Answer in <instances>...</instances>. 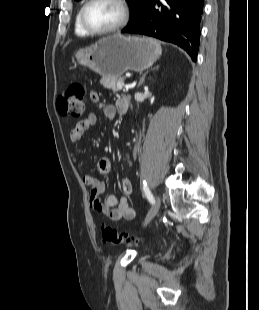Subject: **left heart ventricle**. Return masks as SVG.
Instances as JSON below:
<instances>
[{
  "mask_svg": "<svg viewBox=\"0 0 259 310\" xmlns=\"http://www.w3.org/2000/svg\"><path fill=\"white\" fill-rule=\"evenodd\" d=\"M85 18L92 28L102 30L119 22L121 9L113 0H96L86 9Z\"/></svg>",
  "mask_w": 259,
  "mask_h": 310,
  "instance_id": "b2bd125f",
  "label": "left heart ventricle"
}]
</instances>
